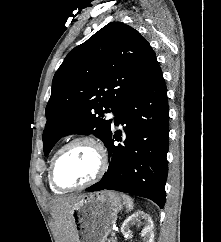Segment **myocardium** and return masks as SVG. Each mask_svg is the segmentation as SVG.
<instances>
[{
	"label": "myocardium",
	"mask_w": 221,
	"mask_h": 242,
	"mask_svg": "<svg viewBox=\"0 0 221 242\" xmlns=\"http://www.w3.org/2000/svg\"><path fill=\"white\" fill-rule=\"evenodd\" d=\"M81 142L89 143L96 149L97 154H98L97 170L89 180H87L81 184L73 185V186H61L57 183L56 178H55L56 166L67 149H69L72 145L81 143ZM107 165H108L107 152L101 142H99L97 139H95L91 136H87V135L77 136V137H74L71 140H69L57 151V153L54 156V158L50 164V167H49V180H50L51 185L54 188L61 190V191H73V190L83 189V188H86V187L96 183L98 180H100L107 169Z\"/></svg>",
	"instance_id": "f54148a6"
}]
</instances>
